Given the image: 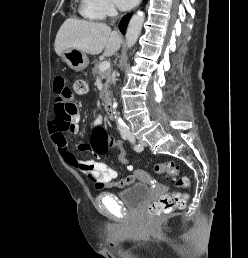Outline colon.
<instances>
[{
  "instance_id": "obj_1",
  "label": "colon",
  "mask_w": 248,
  "mask_h": 258,
  "mask_svg": "<svg viewBox=\"0 0 248 258\" xmlns=\"http://www.w3.org/2000/svg\"><path fill=\"white\" fill-rule=\"evenodd\" d=\"M72 91L76 95H85L88 91L87 83L80 78L74 79L72 82ZM76 113L74 105H65L57 113L54 118V124L63 130H70L71 116ZM93 145L97 154L105 153L111 147H118L120 154V161L124 164H128V160L125 157L124 151L127 149L126 145H121V141H112L106 130L103 128L95 129L93 133ZM155 171L159 174H164L166 177L173 180V182L180 187H187L189 185L188 177L179 178V166L173 161H167L163 163H157L155 165ZM129 169V166H126ZM187 201V194L181 192L169 193L162 195L159 199L153 201L148 206V214L152 218L161 217L174 210L182 209Z\"/></svg>"
}]
</instances>
